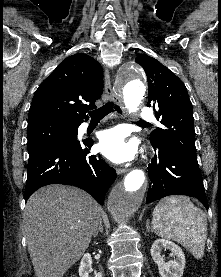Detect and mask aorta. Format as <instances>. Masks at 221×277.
Returning a JSON list of instances; mask_svg holds the SVG:
<instances>
[{"instance_id": "762f6f07", "label": "aorta", "mask_w": 221, "mask_h": 277, "mask_svg": "<svg viewBox=\"0 0 221 277\" xmlns=\"http://www.w3.org/2000/svg\"><path fill=\"white\" fill-rule=\"evenodd\" d=\"M118 91L122 94L129 113L138 110L145 95V74L137 64H127L118 73ZM145 174L140 169L129 172L124 180L116 185L107 202V208L118 225L126 224L138 210L146 189Z\"/></svg>"}]
</instances>
